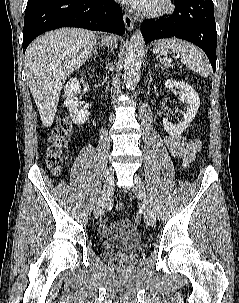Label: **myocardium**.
Here are the masks:
<instances>
[{"label":"myocardium","instance_id":"f54148a6","mask_svg":"<svg viewBox=\"0 0 239 303\" xmlns=\"http://www.w3.org/2000/svg\"><path fill=\"white\" fill-rule=\"evenodd\" d=\"M174 8L173 0H156L143 13L148 17L157 18L171 14Z\"/></svg>","mask_w":239,"mask_h":303}]
</instances>
